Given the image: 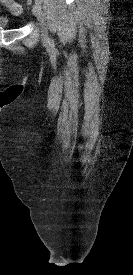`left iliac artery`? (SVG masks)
Here are the masks:
<instances>
[{"label": "left iliac artery", "instance_id": "1", "mask_svg": "<svg viewBox=\"0 0 133 275\" xmlns=\"http://www.w3.org/2000/svg\"><path fill=\"white\" fill-rule=\"evenodd\" d=\"M42 0H35V3H38L41 5Z\"/></svg>", "mask_w": 133, "mask_h": 275}]
</instances>
